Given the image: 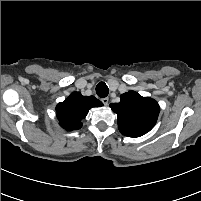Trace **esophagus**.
<instances>
[{"label": "esophagus", "instance_id": "34e87169", "mask_svg": "<svg viewBox=\"0 0 201 201\" xmlns=\"http://www.w3.org/2000/svg\"><path fill=\"white\" fill-rule=\"evenodd\" d=\"M101 101H102V103H103L105 106H107L108 103H109V98H108V97H105V98H103Z\"/></svg>", "mask_w": 201, "mask_h": 201}]
</instances>
